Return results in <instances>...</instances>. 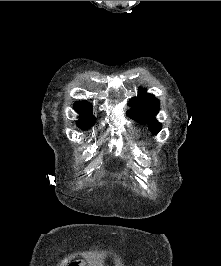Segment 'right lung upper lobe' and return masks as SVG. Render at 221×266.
<instances>
[{"label":"right lung upper lobe","mask_w":221,"mask_h":266,"mask_svg":"<svg viewBox=\"0 0 221 266\" xmlns=\"http://www.w3.org/2000/svg\"><path fill=\"white\" fill-rule=\"evenodd\" d=\"M74 109L81 115L82 118H93L90 110V105L87 102H77Z\"/></svg>","instance_id":"obj_1"}]
</instances>
